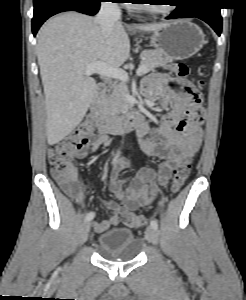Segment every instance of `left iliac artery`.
Segmentation results:
<instances>
[{
    "instance_id": "44dca946",
    "label": "left iliac artery",
    "mask_w": 246,
    "mask_h": 300,
    "mask_svg": "<svg viewBox=\"0 0 246 300\" xmlns=\"http://www.w3.org/2000/svg\"><path fill=\"white\" fill-rule=\"evenodd\" d=\"M150 225H151L153 228H155V229L158 228V223H157L156 220H151Z\"/></svg>"
}]
</instances>
